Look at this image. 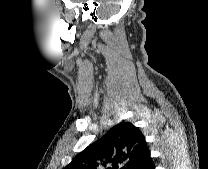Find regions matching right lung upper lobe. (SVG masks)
<instances>
[{"instance_id":"obj_1","label":"right lung upper lobe","mask_w":208,"mask_h":169,"mask_svg":"<svg viewBox=\"0 0 208 169\" xmlns=\"http://www.w3.org/2000/svg\"><path fill=\"white\" fill-rule=\"evenodd\" d=\"M149 159L145 137L138 127L121 122L64 169H141Z\"/></svg>"}]
</instances>
